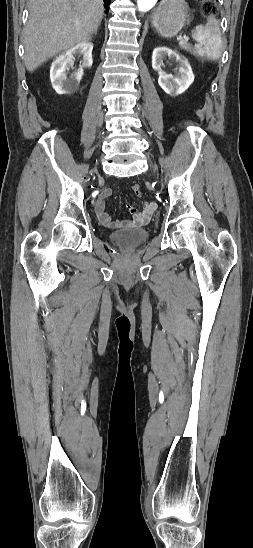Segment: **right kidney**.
I'll return each mask as SVG.
<instances>
[{"label":"right kidney","instance_id":"right-kidney-1","mask_svg":"<svg viewBox=\"0 0 253 548\" xmlns=\"http://www.w3.org/2000/svg\"><path fill=\"white\" fill-rule=\"evenodd\" d=\"M92 50L93 44L91 42H81L61 53L52 62L50 79L54 90L58 94H70L77 89L83 76V68L92 66ZM77 55H83L82 66L70 77H67L66 72L74 65L75 56Z\"/></svg>","mask_w":253,"mask_h":548}]
</instances>
